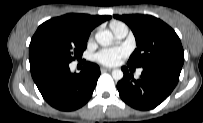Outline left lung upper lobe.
<instances>
[{
	"label": "left lung upper lobe",
	"mask_w": 203,
	"mask_h": 123,
	"mask_svg": "<svg viewBox=\"0 0 203 123\" xmlns=\"http://www.w3.org/2000/svg\"><path fill=\"white\" fill-rule=\"evenodd\" d=\"M133 31L137 48L129 58L128 65H177L184 63V51L175 31L160 19L150 15H114Z\"/></svg>",
	"instance_id": "left-lung-upper-lobe-1"
}]
</instances>
